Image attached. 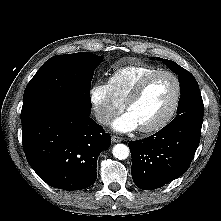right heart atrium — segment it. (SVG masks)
<instances>
[{
	"instance_id": "d8ad5b80",
	"label": "right heart atrium",
	"mask_w": 221,
	"mask_h": 221,
	"mask_svg": "<svg viewBox=\"0 0 221 221\" xmlns=\"http://www.w3.org/2000/svg\"><path fill=\"white\" fill-rule=\"evenodd\" d=\"M92 112L101 125H106L122 110V104L113 96L108 84L94 83L89 89Z\"/></svg>"
}]
</instances>
